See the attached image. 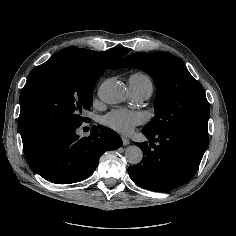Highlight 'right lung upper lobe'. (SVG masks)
Returning a JSON list of instances; mask_svg holds the SVG:
<instances>
[{"instance_id":"cb5924a9","label":"right lung upper lobe","mask_w":236,"mask_h":236,"mask_svg":"<svg viewBox=\"0 0 236 236\" xmlns=\"http://www.w3.org/2000/svg\"><path fill=\"white\" fill-rule=\"evenodd\" d=\"M67 49L77 53L83 59L93 63L94 65L103 67L105 69L110 67L120 57L124 56L129 52V50L127 49H112L105 52H96L82 48H67Z\"/></svg>"}]
</instances>
